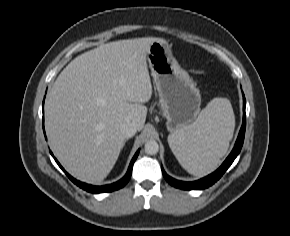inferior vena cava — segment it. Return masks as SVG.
I'll return each instance as SVG.
<instances>
[{
    "label": "inferior vena cava",
    "mask_w": 290,
    "mask_h": 236,
    "mask_svg": "<svg viewBox=\"0 0 290 236\" xmlns=\"http://www.w3.org/2000/svg\"><path fill=\"white\" fill-rule=\"evenodd\" d=\"M136 131H137V129H136L135 125H133L132 123L123 124L121 127V133L127 139L134 136Z\"/></svg>",
    "instance_id": "602c4592"
}]
</instances>
